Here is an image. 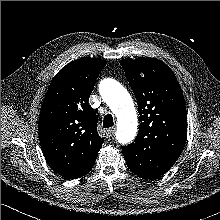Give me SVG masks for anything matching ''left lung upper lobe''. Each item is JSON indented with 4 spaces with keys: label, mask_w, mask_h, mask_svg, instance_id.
<instances>
[{
    "label": "left lung upper lobe",
    "mask_w": 220,
    "mask_h": 220,
    "mask_svg": "<svg viewBox=\"0 0 220 220\" xmlns=\"http://www.w3.org/2000/svg\"><path fill=\"white\" fill-rule=\"evenodd\" d=\"M138 102L140 128L123 155L137 170L166 173L187 138V116L180 85L171 69L150 57L120 61Z\"/></svg>",
    "instance_id": "5c2ea615"
}]
</instances>
